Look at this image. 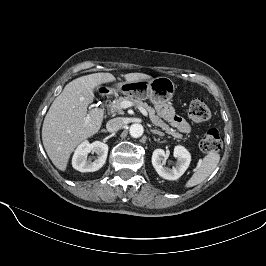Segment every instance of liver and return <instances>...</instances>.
Here are the masks:
<instances>
[{
	"mask_svg": "<svg viewBox=\"0 0 266 266\" xmlns=\"http://www.w3.org/2000/svg\"><path fill=\"white\" fill-rule=\"evenodd\" d=\"M127 82L152 79L143 73L125 74ZM111 73H94L69 82L55 98L42 126L44 148L56 168L65 171L71 153L82 141L96 134L103 121V111L87 108L95 97L94 89L114 82Z\"/></svg>",
	"mask_w": 266,
	"mask_h": 266,
	"instance_id": "1",
	"label": "liver"
}]
</instances>
